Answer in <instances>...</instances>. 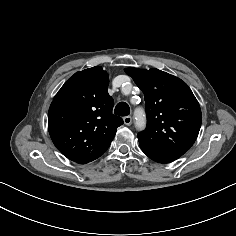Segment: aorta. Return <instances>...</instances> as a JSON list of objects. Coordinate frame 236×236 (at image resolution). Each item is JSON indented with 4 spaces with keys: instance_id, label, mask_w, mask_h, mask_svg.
I'll return each mask as SVG.
<instances>
[{
    "instance_id": "762f6f07",
    "label": "aorta",
    "mask_w": 236,
    "mask_h": 236,
    "mask_svg": "<svg viewBox=\"0 0 236 236\" xmlns=\"http://www.w3.org/2000/svg\"><path fill=\"white\" fill-rule=\"evenodd\" d=\"M135 116H136V125H137V127L138 128H143L144 127V125H145V118H144V115L141 113V112H136V114H135Z\"/></svg>"
}]
</instances>
